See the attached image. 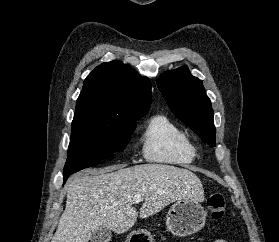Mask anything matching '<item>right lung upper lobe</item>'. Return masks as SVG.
I'll list each match as a JSON object with an SVG mask.
<instances>
[{
	"mask_svg": "<svg viewBox=\"0 0 279 242\" xmlns=\"http://www.w3.org/2000/svg\"><path fill=\"white\" fill-rule=\"evenodd\" d=\"M151 97L147 77L120 61L103 63L85 79L74 117L137 121L148 112Z\"/></svg>",
	"mask_w": 279,
	"mask_h": 242,
	"instance_id": "right-lung-upper-lobe-1",
	"label": "right lung upper lobe"
}]
</instances>
